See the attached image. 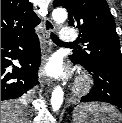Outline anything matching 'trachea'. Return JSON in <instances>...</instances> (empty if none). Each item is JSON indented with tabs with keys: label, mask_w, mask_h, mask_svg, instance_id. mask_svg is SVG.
Listing matches in <instances>:
<instances>
[{
	"label": "trachea",
	"mask_w": 122,
	"mask_h": 123,
	"mask_svg": "<svg viewBox=\"0 0 122 123\" xmlns=\"http://www.w3.org/2000/svg\"><path fill=\"white\" fill-rule=\"evenodd\" d=\"M52 41L57 44V45H62V46H75V43H64L62 42L54 33H51L50 35Z\"/></svg>",
	"instance_id": "3493384b"
}]
</instances>
